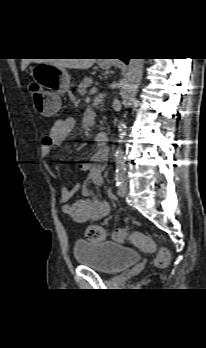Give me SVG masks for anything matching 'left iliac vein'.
<instances>
[{"instance_id":"left-iliac-vein-1","label":"left iliac vein","mask_w":206,"mask_h":348,"mask_svg":"<svg viewBox=\"0 0 206 348\" xmlns=\"http://www.w3.org/2000/svg\"><path fill=\"white\" fill-rule=\"evenodd\" d=\"M128 192V184L124 182L122 185L118 187V195L120 197H125Z\"/></svg>"}]
</instances>
